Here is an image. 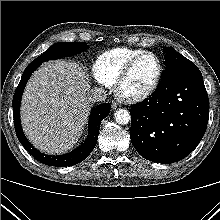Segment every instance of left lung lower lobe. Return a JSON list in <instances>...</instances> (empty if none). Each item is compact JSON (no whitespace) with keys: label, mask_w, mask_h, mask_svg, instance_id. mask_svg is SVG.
Segmentation results:
<instances>
[{"label":"left lung lower lobe","mask_w":220,"mask_h":220,"mask_svg":"<svg viewBox=\"0 0 220 220\" xmlns=\"http://www.w3.org/2000/svg\"><path fill=\"white\" fill-rule=\"evenodd\" d=\"M131 142L147 160L169 164L188 156L208 124L202 74L191 61L166 67L157 90L131 106Z\"/></svg>","instance_id":"1"}]
</instances>
